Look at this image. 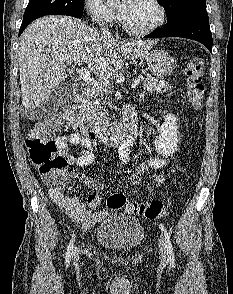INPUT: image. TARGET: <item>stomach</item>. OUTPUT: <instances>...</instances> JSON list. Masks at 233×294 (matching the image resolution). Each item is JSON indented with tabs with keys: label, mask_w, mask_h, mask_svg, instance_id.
<instances>
[{
	"label": "stomach",
	"mask_w": 233,
	"mask_h": 294,
	"mask_svg": "<svg viewBox=\"0 0 233 294\" xmlns=\"http://www.w3.org/2000/svg\"><path fill=\"white\" fill-rule=\"evenodd\" d=\"M148 68L152 75L157 78L169 76L175 69L174 59L163 50H153L144 55Z\"/></svg>",
	"instance_id": "1"
}]
</instances>
